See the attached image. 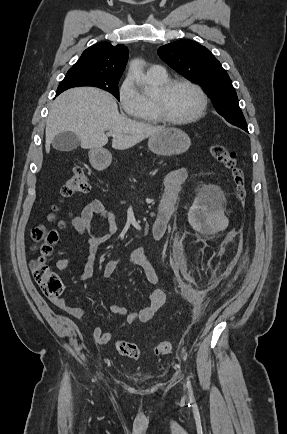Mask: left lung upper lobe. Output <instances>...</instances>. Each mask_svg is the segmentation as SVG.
I'll list each match as a JSON object with an SVG mask.
<instances>
[{
	"label": "left lung upper lobe",
	"instance_id": "obj_1",
	"mask_svg": "<svg viewBox=\"0 0 287 434\" xmlns=\"http://www.w3.org/2000/svg\"><path fill=\"white\" fill-rule=\"evenodd\" d=\"M158 55L178 73L199 83L228 122L246 123L227 72L207 48L192 40H179L160 47Z\"/></svg>",
	"mask_w": 287,
	"mask_h": 434
}]
</instances>
